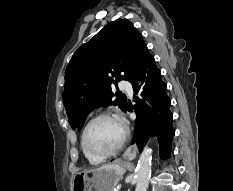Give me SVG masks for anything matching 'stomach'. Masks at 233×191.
<instances>
[{
    "label": "stomach",
    "mask_w": 233,
    "mask_h": 191,
    "mask_svg": "<svg viewBox=\"0 0 233 191\" xmlns=\"http://www.w3.org/2000/svg\"><path fill=\"white\" fill-rule=\"evenodd\" d=\"M124 173L125 167L119 163L79 171L74 176L72 191H113Z\"/></svg>",
    "instance_id": "0dacf381"
}]
</instances>
